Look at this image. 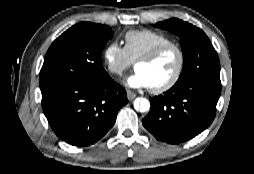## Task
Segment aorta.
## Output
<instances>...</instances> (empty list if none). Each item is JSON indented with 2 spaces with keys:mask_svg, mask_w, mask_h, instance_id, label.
Returning <instances> with one entry per match:
<instances>
[{
  "mask_svg": "<svg viewBox=\"0 0 254 174\" xmlns=\"http://www.w3.org/2000/svg\"><path fill=\"white\" fill-rule=\"evenodd\" d=\"M134 107L140 112H147L150 109V102L146 98H139L135 100Z\"/></svg>",
  "mask_w": 254,
  "mask_h": 174,
  "instance_id": "762f6f07",
  "label": "aorta"
}]
</instances>
